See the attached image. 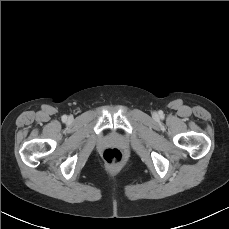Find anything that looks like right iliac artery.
<instances>
[{"label":"right iliac artery","mask_w":229,"mask_h":229,"mask_svg":"<svg viewBox=\"0 0 229 229\" xmlns=\"http://www.w3.org/2000/svg\"><path fill=\"white\" fill-rule=\"evenodd\" d=\"M62 120L66 121L67 120V116L66 115L62 116Z\"/></svg>","instance_id":"1"}]
</instances>
